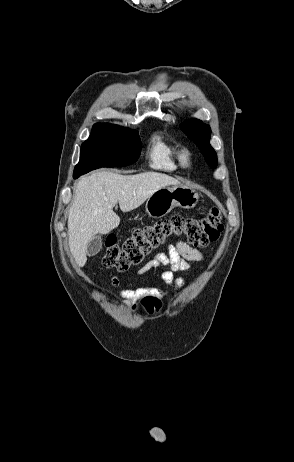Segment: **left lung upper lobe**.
Returning a JSON list of instances; mask_svg holds the SVG:
<instances>
[{
    "label": "left lung upper lobe",
    "mask_w": 294,
    "mask_h": 462,
    "mask_svg": "<svg viewBox=\"0 0 294 462\" xmlns=\"http://www.w3.org/2000/svg\"><path fill=\"white\" fill-rule=\"evenodd\" d=\"M182 131L187 134L188 138L193 140L200 148L207 163L215 168L217 166V154L209 144L211 129L208 125L198 119L187 120L180 124Z\"/></svg>",
    "instance_id": "5c2ea615"
}]
</instances>
